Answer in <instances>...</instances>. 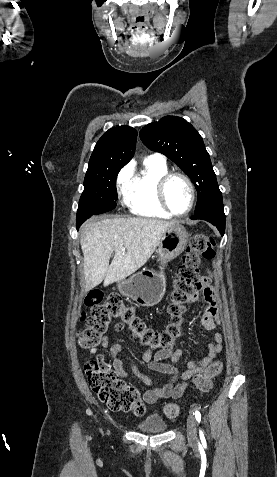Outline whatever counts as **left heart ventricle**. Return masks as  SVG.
I'll return each instance as SVG.
<instances>
[{
    "label": "left heart ventricle",
    "mask_w": 277,
    "mask_h": 477,
    "mask_svg": "<svg viewBox=\"0 0 277 477\" xmlns=\"http://www.w3.org/2000/svg\"><path fill=\"white\" fill-rule=\"evenodd\" d=\"M168 203L172 210L184 212L190 203V190L187 183L180 177L172 178L166 189Z\"/></svg>",
    "instance_id": "left-heart-ventricle-1"
}]
</instances>
